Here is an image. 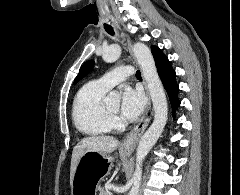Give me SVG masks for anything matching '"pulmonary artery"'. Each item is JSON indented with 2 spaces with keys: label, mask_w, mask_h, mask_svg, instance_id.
Listing matches in <instances>:
<instances>
[{
  "label": "pulmonary artery",
  "mask_w": 240,
  "mask_h": 195,
  "mask_svg": "<svg viewBox=\"0 0 240 195\" xmlns=\"http://www.w3.org/2000/svg\"><path fill=\"white\" fill-rule=\"evenodd\" d=\"M118 70L119 71H109V74L97 78V83H103L107 89H111L118 82L126 80V76H130L134 73V70L131 69L130 65L119 66Z\"/></svg>",
  "instance_id": "pulmonary-artery-1"
}]
</instances>
